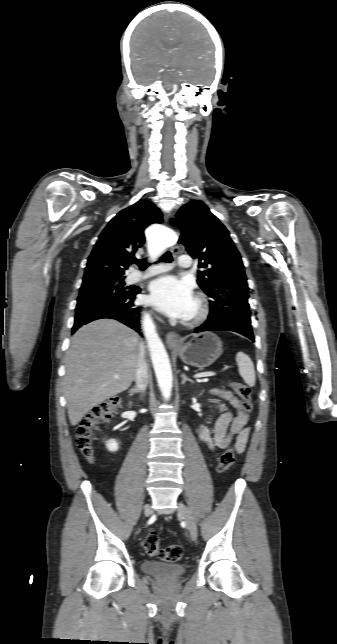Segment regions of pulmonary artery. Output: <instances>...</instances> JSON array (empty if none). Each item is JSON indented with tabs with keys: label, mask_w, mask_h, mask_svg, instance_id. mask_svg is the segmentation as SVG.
Wrapping results in <instances>:
<instances>
[{
	"label": "pulmonary artery",
	"mask_w": 337,
	"mask_h": 644,
	"mask_svg": "<svg viewBox=\"0 0 337 644\" xmlns=\"http://www.w3.org/2000/svg\"><path fill=\"white\" fill-rule=\"evenodd\" d=\"M178 266L181 268H187L191 265V257L189 255H180L177 259ZM169 265H156L151 267L146 272H134L130 276L132 282H136L142 278L156 275L158 273L168 270Z\"/></svg>",
	"instance_id": "obj_1"
}]
</instances>
